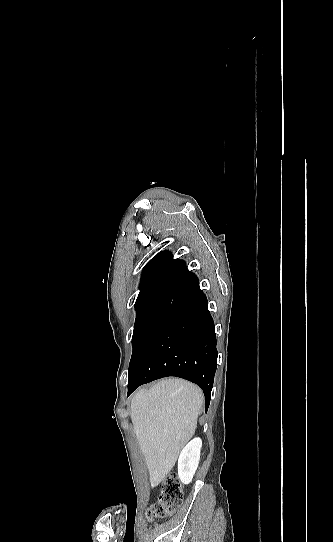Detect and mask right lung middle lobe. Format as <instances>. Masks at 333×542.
<instances>
[{
	"mask_svg": "<svg viewBox=\"0 0 333 542\" xmlns=\"http://www.w3.org/2000/svg\"><path fill=\"white\" fill-rule=\"evenodd\" d=\"M160 300L153 301L147 304L135 306L136 309V319H135V326L132 336V344H133V353L130 362L134 359L136 354V347L138 339L142 333V330L144 328V325L147 321V318L149 317L152 310L155 308V306L158 304Z\"/></svg>",
	"mask_w": 333,
	"mask_h": 542,
	"instance_id": "dd1d6c3e",
	"label": "right lung middle lobe"
}]
</instances>
